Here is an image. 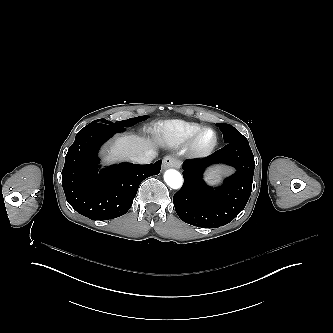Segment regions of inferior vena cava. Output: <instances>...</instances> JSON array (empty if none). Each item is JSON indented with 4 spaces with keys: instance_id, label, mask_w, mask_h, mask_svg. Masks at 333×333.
Instances as JSON below:
<instances>
[{
    "instance_id": "602c4592",
    "label": "inferior vena cava",
    "mask_w": 333,
    "mask_h": 333,
    "mask_svg": "<svg viewBox=\"0 0 333 333\" xmlns=\"http://www.w3.org/2000/svg\"><path fill=\"white\" fill-rule=\"evenodd\" d=\"M157 157V152L153 149L145 151L144 154L130 158L133 162L138 164H150L154 158Z\"/></svg>"
}]
</instances>
